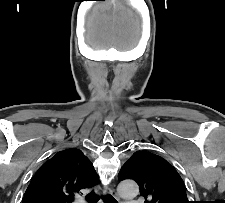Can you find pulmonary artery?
Returning <instances> with one entry per match:
<instances>
[{"label":"pulmonary artery","instance_id":"obj_1","mask_svg":"<svg viewBox=\"0 0 225 203\" xmlns=\"http://www.w3.org/2000/svg\"><path fill=\"white\" fill-rule=\"evenodd\" d=\"M126 203H142V200H128Z\"/></svg>","mask_w":225,"mask_h":203}]
</instances>
